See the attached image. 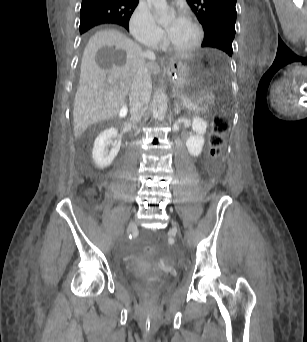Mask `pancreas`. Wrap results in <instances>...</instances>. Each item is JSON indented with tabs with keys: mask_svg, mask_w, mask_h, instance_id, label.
Returning a JSON list of instances; mask_svg holds the SVG:
<instances>
[{
	"mask_svg": "<svg viewBox=\"0 0 307 342\" xmlns=\"http://www.w3.org/2000/svg\"><path fill=\"white\" fill-rule=\"evenodd\" d=\"M179 100L181 99H183L184 97L181 95H179L178 97H177ZM184 103L185 104H190V106L191 107H196L197 106V104H199L197 107L199 108V109H202V108H206L207 106L204 104V105H202V102H203V99H202V97H195V99L194 100H191V98L190 97H185L184 98Z\"/></svg>",
	"mask_w": 307,
	"mask_h": 342,
	"instance_id": "1",
	"label": "pancreas"
}]
</instances>
